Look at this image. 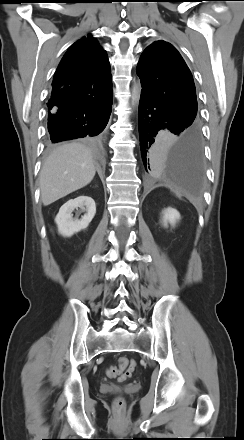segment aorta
<instances>
[{"mask_svg":"<svg viewBox=\"0 0 244 440\" xmlns=\"http://www.w3.org/2000/svg\"><path fill=\"white\" fill-rule=\"evenodd\" d=\"M139 99V89L135 86L132 90V105H136Z\"/></svg>","mask_w":244,"mask_h":440,"instance_id":"1","label":"aorta"}]
</instances>
